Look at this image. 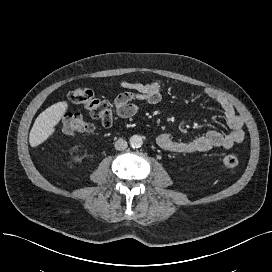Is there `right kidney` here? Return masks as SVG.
<instances>
[{
	"label": "right kidney",
	"mask_w": 272,
	"mask_h": 272,
	"mask_svg": "<svg viewBox=\"0 0 272 272\" xmlns=\"http://www.w3.org/2000/svg\"><path fill=\"white\" fill-rule=\"evenodd\" d=\"M76 160H77V161H79V160H80V158L77 156V157H76Z\"/></svg>",
	"instance_id": "obj_1"
}]
</instances>
